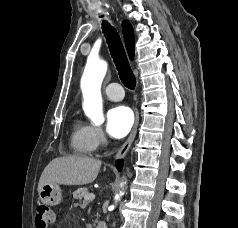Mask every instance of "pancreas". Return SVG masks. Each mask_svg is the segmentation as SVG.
<instances>
[{
    "mask_svg": "<svg viewBox=\"0 0 238 228\" xmlns=\"http://www.w3.org/2000/svg\"><path fill=\"white\" fill-rule=\"evenodd\" d=\"M87 194H90L87 188H79L73 192V198L82 200ZM89 201L83 200V204H87Z\"/></svg>",
    "mask_w": 238,
    "mask_h": 228,
    "instance_id": "1",
    "label": "pancreas"
}]
</instances>
